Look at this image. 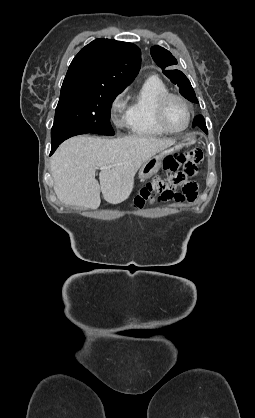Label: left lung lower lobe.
Wrapping results in <instances>:
<instances>
[{"mask_svg": "<svg viewBox=\"0 0 255 418\" xmlns=\"http://www.w3.org/2000/svg\"><path fill=\"white\" fill-rule=\"evenodd\" d=\"M195 126L200 127L204 132L207 133V128H206V124H205V120H204L203 116L198 115L194 118L193 127H195Z\"/></svg>", "mask_w": 255, "mask_h": 418, "instance_id": "left-lung-lower-lobe-1", "label": "left lung lower lobe"}]
</instances>
